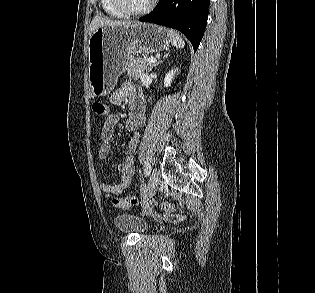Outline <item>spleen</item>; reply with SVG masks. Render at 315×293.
Returning <instances> with one entry per match:
<instances>
[{
  "instance_id": "obj_1",
  "label": "spleen",
  "mask_w": 315,
  "mask_h": 293,
  "mask_svg": "<svg viewBox=\"0 0 315 293\" xmlns=\"http://www.w3.org/2000/svg\"><path fill=\"white\" fill-rule=\"evenodd\" d=\"M168 35L174 47L183 48L185 46V42L182 37L174 30H168Z\"/></svg>"
}]
</instances>
